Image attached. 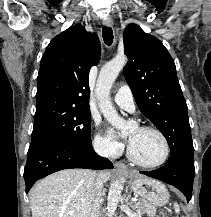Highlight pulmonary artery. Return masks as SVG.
<instances>
[{"label":"pulmonary artery","mask_w":211,"mask_h":217,"mask_svg":"<svg viewBox=\"0 0 211 217\" xmlns=\"http://www.w3.org/2000/svg\"><path fill=\"white\" fill-rule=\"evenodd\" d=\"M114 102L117 106H119L120 108L128 112L135 111V102H134L133 94L130 87L126 84L121 85L118 88L114 96Z\"/></svg>","instance_id":"e3ab8cb5"}]
</instances>
